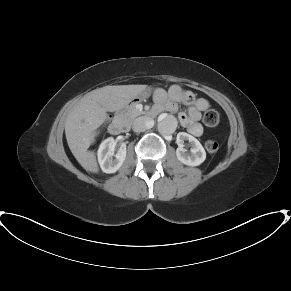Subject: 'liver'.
Returning <instances> with one entry per match:
<instances>
[{
    "label": "liver",
    "instance_id": "6515ba94",
    "mask_svg": "<svg viewBox=\"0 0 291 291\" xmlns=\"http://www.w3.org/2000/svg\"><path fill=\"white\" fill-rule=\"evenodd\" d=\"M146 88V85H119L95 89L86 94L67 115L65 135L68 146L86 171L99 172L96 155L88 148L97 135V129L107 121V111L123 107Z\"/></svg>",
    "mask_w": 291,
    "mask_h": 291
}]
</instances>
